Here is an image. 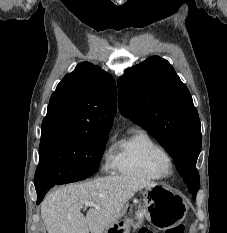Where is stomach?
<instances>
[{
  "mask_svg": "<svg viewBox=\"0 0 227 233\" xmlns=\"http://www.w3.org/2000/svg\"><path fill=\"white\" fill-rule=\"evenodd\" d=\"M187 210L184 198L170 188L163 185L147 187L143 198L127 202L103 233H129L131 227L141 226L144 218L157 228L170 230L184 220Z\"/></svg>",
  "mask_w": 227,
  "mask_h": 233,
  "instance_id": "0dacf381",
  "label": "stomach"
}]
</instances>
